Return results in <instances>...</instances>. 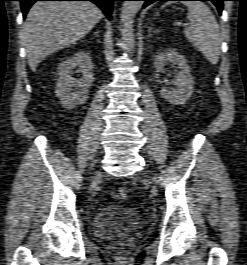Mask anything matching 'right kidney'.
<instances>
[{
    "label": "right kidney",
    "instance_id": "right-kidney-1",
    "mask_svg": "<svg viewBox=\"0 0 247 265\" xmlns=\"http://www.w3.org/2000/svg\"><path fill=\"white\" fill-rule=\"evenodd\" d=\"M79 67L83 77L79 80L71 77V70ZM59 79L56 96L64 107L72 108L84 104L88 99V89L94 81L93 64L90 56L84 52L75 53L58 65Z\"/></svg>",
    "mask_w": 247,
    "mask_h": 265
}]
</instances>
